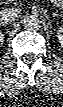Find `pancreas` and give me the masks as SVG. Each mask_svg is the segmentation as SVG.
<instances>
[{
  "instance_id": "cf45deb5",
  "label": "pancreas",
  "mask_w": 63,
  "mask_h": 107,
  "mask_svg": "<svg viewBox=\"0 0 63 107\" xmlns=\"http://www.w3.org/2000/svg\"><path fill=\"white\" fill-rule=\"evenodd\" d=\"M55 6L62 7L63 2L61 0H52L51 1Z\"/></svg>"
}]
</instances>
